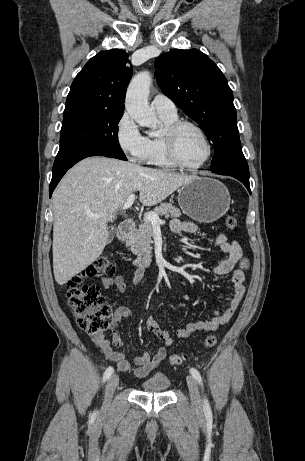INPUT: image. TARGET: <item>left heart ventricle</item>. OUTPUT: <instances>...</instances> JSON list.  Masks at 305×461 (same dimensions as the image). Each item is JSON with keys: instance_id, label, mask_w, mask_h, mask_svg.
I'll return each mask as SVG.
<instances>
[{"instance_id": "left-heart-ventricle-1", "label": "left heart ventricle", "mask_w": 305, "mask_h": 461, "mask_svg": "<svg viewBox=\"0 0 305 461\" xmlns=\"http://www.w3.org/2000/svg\"><path fill=\"white\" fill-rule=\"evenodd\" d=\"M177 152L183 162L195 165L204 159L207 149L198 132L185 127L178 135Z\"/></svg>"}]
</instances>
